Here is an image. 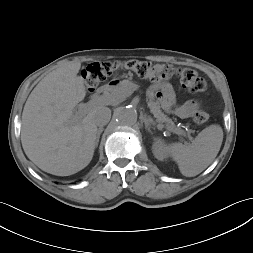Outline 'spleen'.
<instances>
[{"mask_svg":"<svg viewBox=\"0 0 253 253\" xmlns=\"http://www.w3.org/2000/svg\"><path fill=\"white\" fill-rule=\"evenodd\" d=\"M222 141V128L219 125H210L203 129L190 145L173 143L166 148V152L176 161L184 176L193 177L214 161Z\"/></svg>","mask_w":253,"mask_h":253,"instance_id":"3e777b00","label":"spleen"}]
</instances>
